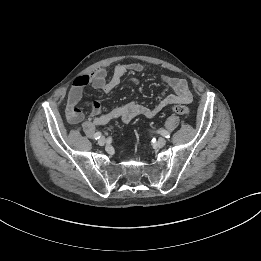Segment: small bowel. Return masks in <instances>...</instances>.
<instances>
[{"label": "small bowel", "mask_w": 261, "mask_h": 261, "mask_svg": "<svg viewBox=\"0 0 261 261\" xmlns=\"http://www.w3.org/2000/svg\"><path fill=\"white\" fill-rule=\"evenodd\" d=\"M143 71L144 67L141 64L133 62L117 65L109 79H107V71L104 68H98L90 74L76 77L68 95L67 119L71 123H78L83 119V114L77 108V104L81 101L86 86L91 85L94 89L107 94L120 84L127 72L141 73ZM162 80L173 90V93L160 99L153 107L131 101L104 113L101 102L92 101L93 124L105 125L116 118H120L124 123H129L138 116L152 118L169 105L189 104L192 102L193 96L185 79L163 75ZM128 81L132 84H139V80L134 77Z\"/></svg>", "instance_id": "1"}]
</instances>
